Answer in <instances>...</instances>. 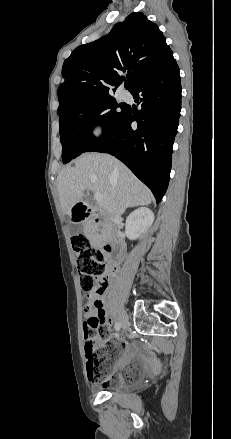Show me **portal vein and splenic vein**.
Here are the masks:
<instances>
[{"mask_svg":"<svg viewBox=\"0 0 231 439\" xmlns=\"http://www.w3.org/2000/svg\"><path fill=\"white\" fill-rule=\"evenodd\" d=\"M103 198H104V196L102 194H100V193H95L94 194V199L97 200V201H102Z\"/></svg>","mask_w":231,"mask_h":439,"instance_id":"obj_1","label":"portal vein and splenic vein"}]
</instances>
